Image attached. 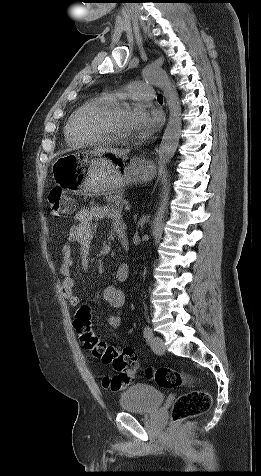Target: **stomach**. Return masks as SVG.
I'll return each instance as SVG.
<instances>
[{
  "label": "stomach",
  "instance_id": "obj_1",
  "mask_svg": "<svg viewBox=\"0 0 261 476\" xmlns=\"http://www.w3.org/2000/svg\"><path fill=\"white\" fill-rule=\"evenodd\" d=\"M54 173L62 190H74V195H99L115 193L131 183L148 182L154 178L156 167L144 158L129 159L106 149L59 156Z\"/></svg>",
  "mask_w": 261,
  "mask_h": 476
}]
</instances>
